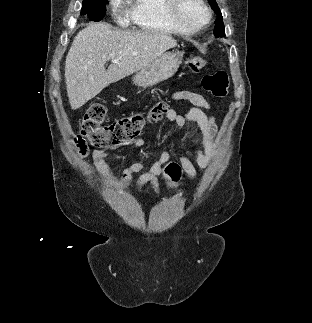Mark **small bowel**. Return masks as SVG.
Wrapping results in <instances>:
<instances>
[{"label":"small bowel","instance_id":"1","mask_svg":"<svg viewBox=\"0 0 312 323\" xmlns=\"http://www.w3.org/2000/svg\"><path fill=\"white\" fill-rule=\"evenodd\" d=\"M172 99L176 102H187L193 107L188 109L184 114L177 112L173 108H167L165 118L182 129L187 124L193 123L197 126L200 138L195 141L196 164H194L184 154H179L178 163L182 164L185 175L191 179L195 178L198 172L207 168L210 161L217 151V124L214 115L208 113L211 109V99L206 94L197 93L190 90H177L172 94ZM131 151L138 150L145 145L142 138H135L128 141ZM107 150L98 149L92 153V166L98 170L105 178L106 183L115 188L127 187L133 175L143 172L136 181V186L141 187L150 183L156 193L159 194V177L163 171L164 164H171L170 153L163 151L154 155L149 163L134 162L127 167L118 180L113 177L109 170ZM178 184V183H177ZM168 185V183H167Z\"/></svg>","mask_w":312,"mask_h":323}]
</instances>
